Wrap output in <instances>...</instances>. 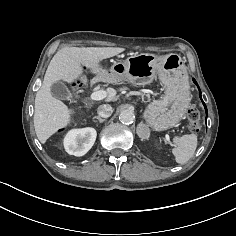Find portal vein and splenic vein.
I'll return each instance as SVG.
<instances>
[{
    "mask_svg": "<svg viewBox=\"0 0 236 236\" xmlns=\"http://www.w3.org/2000/svg\"><path fill=\"white\" fill-rule=\"evenodd\" d=\"M106 97H107V93L106 91H103V90L95 91L90 95L91 100H95V101L102 100ZM166 139L168 141L170 140L168 135L166 136Z\"/></svg>",
    "mask_w": 236,
    "mask_h": 236,
    "instance_id": "obj_1",
    "label": "portal vein and splenic vein"
}]
</instances>
